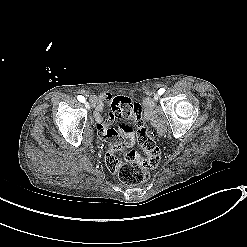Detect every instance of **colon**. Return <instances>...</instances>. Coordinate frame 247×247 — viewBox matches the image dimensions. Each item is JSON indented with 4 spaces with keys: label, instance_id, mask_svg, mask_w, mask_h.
Segmentation results:
<instances>
[{
    "label": "colon",
    "instance_id": "1",
    "mask_svg": "<svg viewBox=\"0 0 247 247\" xmlns=\"http://www.w3.org/2000/svg\"><path fill=\"white\" fill-rule=\"evenodd\" d=\"M139 133V147L127 153L116 172L119 180L128 186H138L147 182L150 173L160 159V149L145 128L143 116L136 123Z\"/></svg>",
    "mask_w": 247,
    "mask_h": 247
}]
</instances>
